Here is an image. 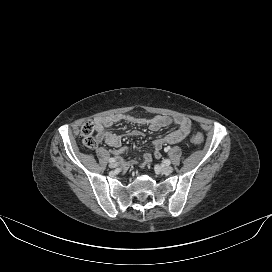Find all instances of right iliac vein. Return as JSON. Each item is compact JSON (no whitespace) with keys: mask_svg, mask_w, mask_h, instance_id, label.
Listing matches in <instances>:
<instances>
[{"mask_svg":"<svg viewBox=\"0 0 272 272\" xmlns=\"http://www.w3.org/2000/svg\"><path fill=\"white\" fill-rule=\"evenodd\" d=\"M117 165H118L117 162H113V163H110V164H109V167H110V168H115V167H117Z\"/></svg>","mask_w":272,"mask_h":272,"instance_id":"1","label":"right iliac vein"}]
</instances>
